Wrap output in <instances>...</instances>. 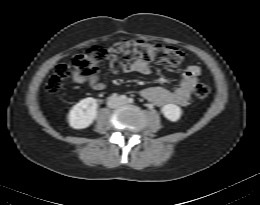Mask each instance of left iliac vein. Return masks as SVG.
I'll return each mask as SVG.
<instances>
[{"mask_svg":"<svg viewBox=\"0 0 260 205\" xmlns=\"http://www.w3.org/2000/svg\"><path fill=\"white\" fill-rule=\"evenodd\" d=\"M119 103H120V104H126L127 101H126V100H124V101H123V100H120Z\"/></svg>","mask_w":260,"mask_h":205,"instance_id":"4c4485c4","label":"left iliac vein"}]
</instances>
